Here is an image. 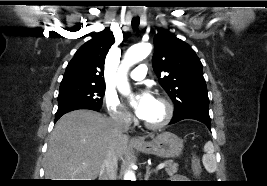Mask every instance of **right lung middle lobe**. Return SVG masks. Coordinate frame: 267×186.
<instances>
[{"label": "right lung middle lobe", "mask_w": 267, "mask_h": 186, "mask_svg": "<svg viewBox=\"0 0 267 186\" xmlns=\"http://www.w3.org/2000/svg\"><path fill=\"white\" fill-rule=\"evenodd\" d=\"M105 85H65L60 86L58 106L89 104L101 106Z\"/></svg>", "instance_id": "obj_1"}]
</instances>
